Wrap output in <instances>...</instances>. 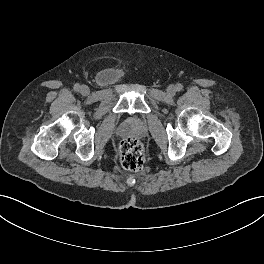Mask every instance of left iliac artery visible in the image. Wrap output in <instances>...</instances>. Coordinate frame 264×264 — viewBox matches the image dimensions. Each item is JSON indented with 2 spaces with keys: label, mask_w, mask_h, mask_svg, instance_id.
<instances>
[{
  "label": "left iliac artery",
  "mask_w": 264,
  "mask_h": 264,
  "mask_svg": "<svg viewBox=\"0 0 264 264\" xmlns=\"http://www.w3.org/2000/svg\"><path fill=\"white\" fill-rule=\"evenodd\" d=\"M182 89H183V86H182L181 84L178 83V84L176 85V90H177V91H181Z\"/></svg>",
  "instance_id": "44dca946"
}]
</instances>
